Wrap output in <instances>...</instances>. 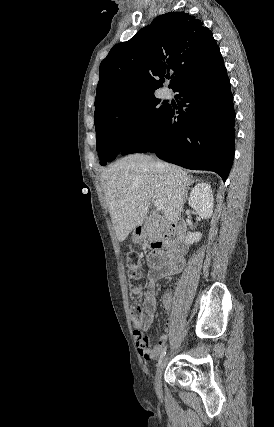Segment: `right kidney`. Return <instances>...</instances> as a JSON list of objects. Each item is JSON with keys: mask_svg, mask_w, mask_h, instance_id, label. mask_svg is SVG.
Returning a JSON list of instances; mask_svg holds the SVG:
<instances>
[{"mask_svg": "<svg viewBox=\"0 0 274 427\" xmlns=\"http://www.w3.org/2000/svg\"><path fill=\"white\" fill-rule=\"evenodd\" d=\"M188 204L193 210H196L200 217H204V219L211 217L214 204L211 186L209 184H197L190 194ZM201 237L202 233L200 231H195V233L188 231L186 243H194V241H199Z\"/></svg>", "mask_w": 274, "mask_h": 427, "instance_id": "obj_1", "label": "right kidney"}]
</instances>
